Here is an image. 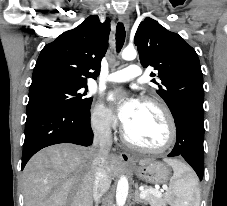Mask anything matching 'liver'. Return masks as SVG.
I'll list each match as a JSON object with an SVG mask.
<instances>
[{"label": "liver", "instance_id": "liver-1", "mask_svg": "<svg viewBox=\"0 0 227 206\" xmlns=\"http://www.w3.org/2000/svg\"><path fill=\"white\" fill-rule=\"evenodd\" d=\"M92 159L91 148L73 144L53 145L36 153L23 171L25 206H93ZM120 166L118 157H108L110 176H116Z\"/></svg>", "mask_w": 227, "mask_h": 206}]
</instances>
